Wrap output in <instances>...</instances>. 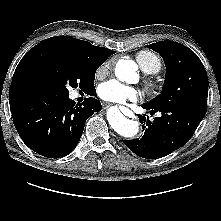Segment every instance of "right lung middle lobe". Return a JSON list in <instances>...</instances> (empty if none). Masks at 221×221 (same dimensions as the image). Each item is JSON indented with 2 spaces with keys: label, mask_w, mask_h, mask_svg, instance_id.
<instances>
[{
  "label": "right lung middle lobe",
  "mask_w": 221,
  "mask_h": 221,
  "mask_svg": "<svg viewBox=\"0 0 221 221\" xmlns=\"http://www.w3.org/2000/svg\"><path fill=\"white\" fill-rule=\"evenodd\" d=\"M18 78L28 89L68 96V87L89 90L98 66L59 49H43L27 56L17 67Z\"/></svg>",
  "instance_id": "1"
}]
</instances>
